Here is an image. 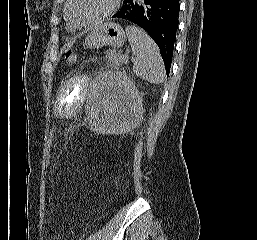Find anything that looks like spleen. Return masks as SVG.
Here are the masks:
<instances>
[{
    "label": "spleen",
    "instance_id": "3e777b00",
    "mask_svg": "<svg viewBox=\"0 0 257 240\" xmlns=\"http://www.w3.org/2000/svg\"><path fill=\"white\" fill-rule=\"evenodd\" d=\"M126 34L135 56L133 72L150 83H162L165 80V69L155 42L145 31L136 26H128Z\"/></svg>",
    "mask_w": 257,
    "mask_h": 240
}]
</instances>
